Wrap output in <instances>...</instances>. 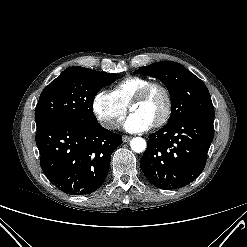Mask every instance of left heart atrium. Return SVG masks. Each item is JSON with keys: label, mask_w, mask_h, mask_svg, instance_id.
Wrapping results in <instances>:
<instances>
[{"label": "left heart atrium", "mask_w": 247, "mask_h": 247, "mask_svg": "<svg viewBox=\"0 0 247 247\" xmlns=\"http://www.w3.org/2000/svg\"><path fill=\"white\" fill-rule=\"evenodd\" d=\"M151 123L137 113H131L124 122V128L129 132H143L151 127Z\"/></svg>", "instance_id": "39dd6f15"}]
</instances>
